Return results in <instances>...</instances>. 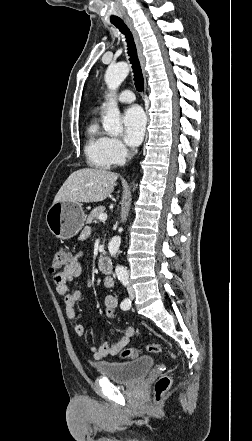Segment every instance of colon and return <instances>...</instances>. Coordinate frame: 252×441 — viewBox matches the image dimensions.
<instances>
[{"label":"colon","instance_id":"obj_1","mask_svg":"<svg viewBox=\"0 0 252 441\" xmlns=\"http://www.w3.org/2000/svg\"><path fill=\"white\" fill-rule=\"evenodd\" d=\"M70 260H71L70 254L66 249H63V248L57 249L54 252V255L52 258V262L50 265V271L55 272L59 269H62V268L64 269L68 265ZM115 310H116V308L114 306L105 305L103 312H102L103 318L107 319V320L113 318L115 315ZM148 350L152 353H161V352H163V347L160 344L151 343L148 345ZM119 355L122 358L133 359L139 355V351L137 348L130 347V348H126V349L121 350L119 352ZM167 355L171 360L175 359L174 354L168 352ZM170 384H171V380H170L169 376H167V375L161 376L156 381L155 386H154V395L157 400L161 399L162 395L170 387Z\"/></svg>","mask_w":252,"mask_h":441}]
</instances>
